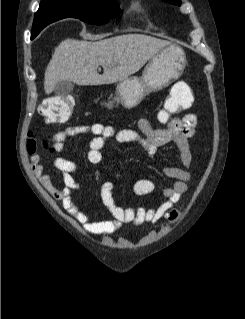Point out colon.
I'll return each mask as SVG.
<instances>
[{
    "mask_svg": "<svg viewBox=\"0 0 245 319\" xmlns=\"http://www.w3.org/2000/svg\"><path fill=\"white\" fill-rule=\"evenodd\" d=\"M189 105L185 100V92H172L166 102V109L160 113V119L166 120L169 115L180 113ZM73 110V100L69 96H56L47 99L41 106V112L48 121L52 123H62L68 120ZM29 153L33 154L38 147L37 142L31 133L30 139L27 143ZM178 216V210H173L170 213V219L174 220Z\"/></svg>",
    "mask_w": 245,
    "mask_h": 319,
    "instance_id": "5ec220e1",
    "label": "colon"
}]
</instances>
